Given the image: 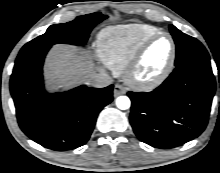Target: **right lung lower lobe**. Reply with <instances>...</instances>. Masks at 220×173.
<instances>
[{"label": "right lung lower lobe", "mask_w": 220, "mask_h": 173, "mask_svg": "<svg viewBox=\"0 0 220 173\" xmlns=\"http://www.w3.org/2000/svg\"><path fill=\"white\" fill-rule=\"evenodd\" d=\"M50 47L18 55L10 91L19 126L30 139L51 150H72L88 141L99 112L113 100V85L48 94L42 66Z\"/></svg>", "instance_id": "right-lung-lower-lobe-1"}]
</instances>
